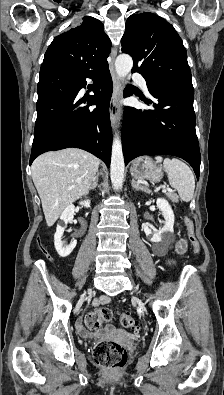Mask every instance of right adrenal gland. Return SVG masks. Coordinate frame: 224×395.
Segmentation results:
<instances>
[{
	"label": "right adrenal gland",
	"instance_id": "1",
	"mask_svg": "<svg viewBox=\"0 0 224 395\" xmlns=\"http://www.w3.org/2000/svg\"><path fill=\"white\" fill-rule=\"evenodd\" d=\"M98 181H99V178H98V175H97V176L95 177V179L93 180L92 185L89 187V190L95 189V188L98 186Z\"/></svg>",
	"mask_w": 224,
	"mask_h": 395
}]
</instances>
